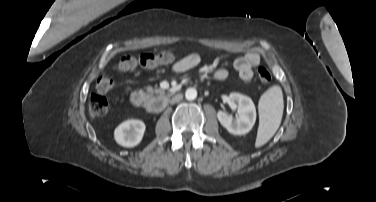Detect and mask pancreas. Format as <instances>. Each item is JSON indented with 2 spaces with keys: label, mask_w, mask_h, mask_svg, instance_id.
<instances>
[{
  "label": "pancreas",
  "mask_w": 376,
  "mask_h": 202,
  "mask_svg": "<svg viewBox=\"0 0 376 202\" xmlns=\"http://www.w3.org/2000/svg\"><path fill=\"white\" fill-rule=\"evenodd\" d=\"M146 93L150 96V97H155V96H164L165 95V91L160 89V88H152V87H147L145 89Z\"/></svg>",
  "instance_id": "obj_1"
}]
</instances>
